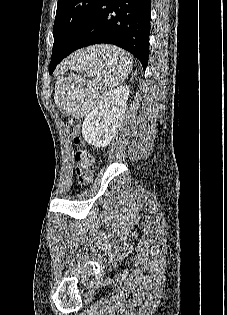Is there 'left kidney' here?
Listing matches in <instances>:
<instances>
[{"instance_id": "1", "label": "left kidney", "mask_w": 227, "mask_h": 315, "mask_svg": "<svg viewBox=\"0 0 227 315\" xmlns=\"http://www.w3.org/2000/svg\"><path fill=\"white\" fill-rule=\"evenodd\" d=\"M129 87L108 92L86 116L82 125L85 140L96 148L106 147L113 138L126 111Z\"/></svg>"}]
</instances>
